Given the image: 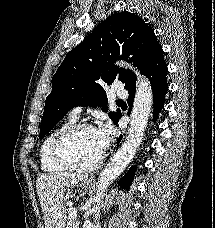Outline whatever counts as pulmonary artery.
<instances>
[{"instance_id":"pulmonary-artery-1","label":"pulmonary artery","mask_w":215,"mask_h":228,"mask_svg":"<svg viewBox=\"0 0 215 228\" xmlns=\"http://www.w3.org/2000/svg\"><path fill=\"white\" fill-rule=\"evenodd\" d=\"M112 95L115 96H127L128 95V88H126V84H113L112 85ZM81 112L80 107H75L71 110L70 115L74 118L79 117Z\"/></svg>"}]
</instances>
